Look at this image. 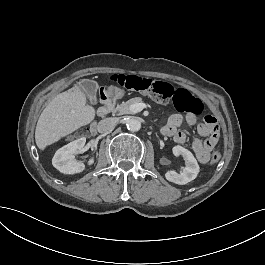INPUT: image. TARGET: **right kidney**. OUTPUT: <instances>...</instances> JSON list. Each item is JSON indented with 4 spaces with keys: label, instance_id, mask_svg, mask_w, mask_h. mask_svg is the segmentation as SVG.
<instances>
[{
    "label": "right kidney",
    "instance_id": "right-kidney-1",
    "mask_svg": "<svg viewBox=\"0 0 265 265\" xmlns=\"http://www.w3.org/2000/svg\"><path fill=\"white\" fill-rule=\"evenodd\" d=\"M85 143L86 138L82 137L58 149L52 159V165L64 174L82 172L85 169V165L75 159V154L83 149ZM93 163L94 159H89L88 165Z\"/></svg>",
    "mask_w": 265,
    "mask_h": 265
}]
</instances>
